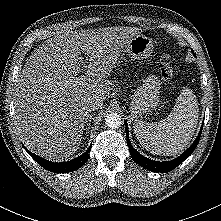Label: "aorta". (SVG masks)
<instances>
[{
	"label": "aorta",
	"instance_id": "1",
	"mask_svg": "<svg viewBox=\"0 0 221 221\" xmlns=\"http://www.w3.org/2000/svg\"><path fill=\"white\" fill-rule=\"evenodd\" d=\"M106 125L111 129H116L122 125V117L117 113L108 114L106 119Z\"/></svg>",
	"mask_w": 221,
	"mask_h": 221
}]
</instances>
